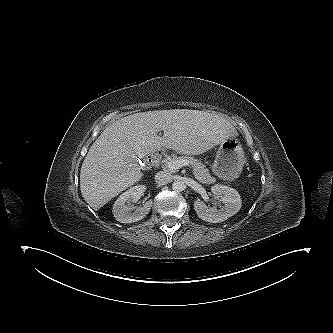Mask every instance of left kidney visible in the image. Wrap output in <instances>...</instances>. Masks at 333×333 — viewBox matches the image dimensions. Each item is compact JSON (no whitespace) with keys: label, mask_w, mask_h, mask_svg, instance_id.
Listing matches in <instances>:
<instances>
[{"label":"left kidney","mask_w":333,"mask_h":333,"mask_svg":"<svg viewBox=\"0 0 333 333\" xmlns=\"http://www.w3.org/2000/svg\"><path fill=\"white\" fill-rule=\"evenodd\" d=\"M211 191L215 197H221L224 206L217 209L216 206L208 207L203 201L196 200L194 209L200 219L206 222L219 223L239 212L242 202L235 189L217 184L211 188Z\"/></svg>","instance_id":"obj_1"}]
</instances>
